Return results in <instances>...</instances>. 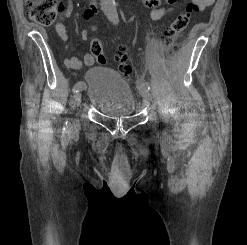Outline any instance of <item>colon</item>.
Segmentation results:
<instances>
[{
	"label": "colon",
	"instance_id": "1",
	"mask_svg": "<svg viewBox=\"0 0 247 245\" xmlns=\"http://www.w3.org/2000/svg\"><path fill=\"white\" fill-rule=\"evenodd\" d=\"M29 8V16L36 23L43 26L52 25L57 17L60 0H25ZM198 10V5L192 2L187 5L178 16H176L167 26L160 37V43L164 48H169L176 38L187 27L192 14ZM91 53L98 59L101 64H105L107 59L103 54V49L100 41L93 38L90 43ZM114 60L117 63V68L124 76H130L131 67L126 63V49L123 46L118 47Z\"/></svg>",
	"mask_w": 247,
	"mask_h": 245
}]
</instances>
